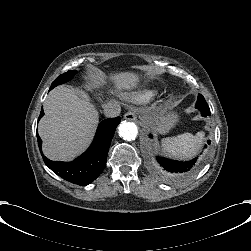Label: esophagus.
Returning <instances> with one entry per match:
<instances>
[{"label":"esophagus","mask_w":251,"mask_h":251,"mask_svg":"<svg viewBox=\"0 0 251 251\" xmlns=\"http://www.w3.org/2000/svg\"><path fill=\"white\" fill-rule=\"evenodd\" d=\"M124 119L135 121L137 119V115L134 112H127L124 114Z\"/></svg>","instance_id":"34e87169"}]
</instances>
